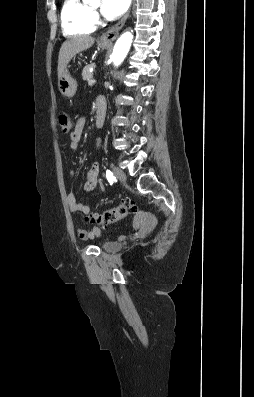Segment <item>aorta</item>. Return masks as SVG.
I'll return each mask as SVG.
<instances>
[{
  "label": "aorta",
  "mask_w": 254,
  "mask_h": 397,
  "mask_svg": "<svg viewBox=\"0 0 254 397\" xmlns=\"http://www.w3.org/2000/svg\"><path fill=\"white\" fill-rule=\"evenodd\" d=\"M87 2L97 1V0H86ZM133 40V35L130 32L123 33L116 44L112 53V61L115 66H119L125 59Z\"/></svg>",
  "instance_id": "obj_1"
}]
</instances>
